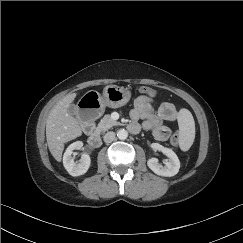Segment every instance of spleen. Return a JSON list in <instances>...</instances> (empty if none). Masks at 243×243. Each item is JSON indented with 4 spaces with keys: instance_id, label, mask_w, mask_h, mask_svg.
<instances>
[{
    "instance_id": "3e777b00",
    "label": "spleen",
    "mask_w": 243,
    "mask_h": 243,
    "mask_svg": "<svg viewBox=\"0 0 243 243\" xmlns=\"http://www.w3.org/2000/svg\"><path fill=\"white\" fill-rule=\"evenodd\" d=\"M179 146L182 151H188L195 138V122L191 112L181 109L178 114Z\"/></svg>"
}]
</instances>
